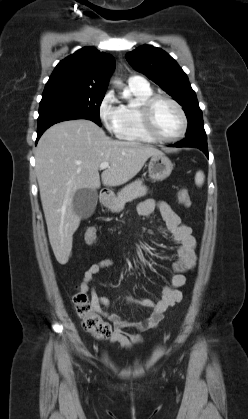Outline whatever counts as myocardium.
Listing matches in <instances>:
<instances>
[{
	"label": "myocardium",
	"instance_id": "1",
	"mask_svg": "<svg viewBox=\"0 0 248 419\" xmlns=\"http://www.w3.org/2000/svg\"><path fill=\"white\" fill-rule=\"evenodd\" d=\"M167 101L172 104L180 114L182 126L181 130L178 134L172 137H163L160 136L154 129L153 121H152V110L154 105L158 101ZM139 118L141 122L142 129L144 133L150 137L153 141L161 142V143H171L180 140L186 134L188 128V120L186 113L183 107L177 102L175 99L171 98L167 95L155 94L150 96L148 99L143 101L139 107Z\"/></svg>",
	"mask_w": 248,
	"mask_h": 419
}]
</instances>
